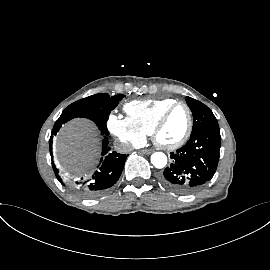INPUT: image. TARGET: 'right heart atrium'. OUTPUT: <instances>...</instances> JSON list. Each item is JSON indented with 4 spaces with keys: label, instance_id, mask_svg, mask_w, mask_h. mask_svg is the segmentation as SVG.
<instances>
[{
    "label": "right heart atrium",
    "instance_id": "right-heart-atrium-1",
    "mask_svg": "<svg viewBox=\"0 0 270 270\" xmlns=\"http://www.w3.org/2000/svg\"><path fill=\"white\" fill-rule=\"evenodd\" d=\"M110 132L128 145H139L144 142L145 135L128 117L111 114L107 121Z\"/></svg>",
    "mask_w": 270,
    "mask_h": 270
}]
</instances>
